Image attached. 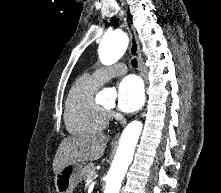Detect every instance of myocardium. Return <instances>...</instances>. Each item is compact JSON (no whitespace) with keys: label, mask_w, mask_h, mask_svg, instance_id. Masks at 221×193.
I'll use <instances>...</instances> for the list:
<instances>
[{"label":"myocardium","mask_w":221,"mask_h":193,"mask_svg":"<svg viewBox=\"0 0 221 193\" xmlns=\"http://www.w3.org/2000/svg\"><path fill=\"white\" fill-rule=\"evenodd\" d=\"M106 112H109L110 108L108 107H102Z\"/></svg>","instance_id":"1"}]
</instances>
